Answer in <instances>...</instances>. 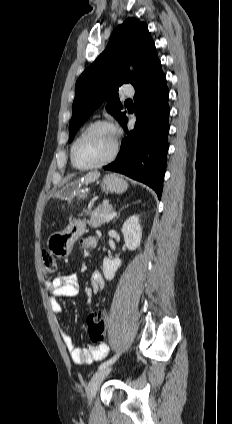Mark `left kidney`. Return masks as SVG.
<instances>
[{
    "label": "left kidney",
    "mask_w": 232,
    "mask_h": 424,
    "mask_svg": "<svg viewBox=\"0 0 232 424\" xmlns=\"http://www.w3.org/2000/svg\"><path fill=\"white\" fill-rule=\"evenodd\" d=\"M122 233L126 247L133 251L140 246L142 239V228L139 223V216L133 215L129 217L123 224ZM122 262L120 259H110L105 257L103 260L104 277L111 281Z\"/></svg>",
    "instance_id": "left-kidney-1"
}]
</instances>
